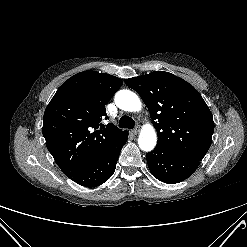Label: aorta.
<instances>
[{
    "label": "aorta",
    "mask_w": 247,
    "mask_h": 247,
    "mask_svg": "<svg viewBox=\"0 0 247 247\" xmlns=\"http://www.w3.org/2000/svg\"><path fill=\"white\" fill-rule=\"evenodd\" d=\"M115 103L118 108L128 112L141 110L142 103L139 97L130 90H120L115 95ZM157 143V134L152 125H146L142 128L138 145L141 150L149 152L154 149Z\"/></svg>",
    "instance_id": "obj_1"
}]
</instances>
